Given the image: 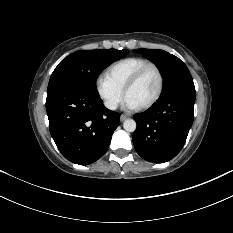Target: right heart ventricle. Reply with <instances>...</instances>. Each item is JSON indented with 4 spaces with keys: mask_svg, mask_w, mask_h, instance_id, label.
I'll use <instances>...</instances> for the list:
<instances>
[{
    "mask_svg": "<svg viewBox=\"0 0 233 233\" xmlns=\"http://www.w3.org/2000/svg\"><path fill=\"white\" fill-rule=\"evenodd\" d=\"M149 61L142 57H127L121 59L106 70V77L111 80L117 87L124 90V87L130 77L143 65Z\"/></svg>",
    "mask_w": 233,
    "mask_h": 233,
    "instance_id": "e07e8e85",
    "label": "right heart ventricle"
}]
</instances>
